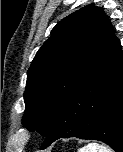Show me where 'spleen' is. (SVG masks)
I'll return each instance as SVG.
<instances>
[{
  "label": "spleen",
  "instance_id": "spleen-1",
  "mask_svg": "<svg viewBox=\"0 0 123 152\" xmlns=\"http://www.w3.org/2000/svg\"><path fill=\"white\" fill-rule=\"evenodd\" d=\"M78 152H111V150L104 147L103 145L93 142L80 148Z\"/></svg>",
  "mask_w": 123,
  "mask_h": 152
}]
</instances>
